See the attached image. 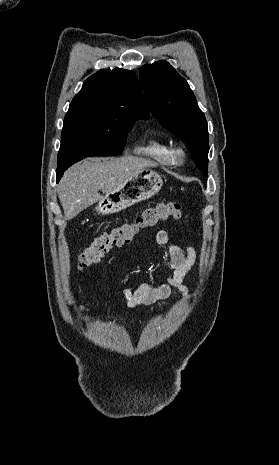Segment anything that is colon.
<instances>
[{
	"instance_id": "1",
	"label": "colon",
	"mask_w": 279,
	"mask_h": 465,
	"mask_svg": "<svg viewBox=\"0 0 279 465\" xmlns=\"http://www.w3.org/2000/svg\"><path fill=\"white\" fill-rule=\"evenodd\" d=\"M170 217L174 219L181 217V205L179 203H157L145 209L133 222L102 232L80 254L78 259L79 267L86 269L93 266L113 247L128 244L147 227Z\"/></svg>"
}]
</instances>
